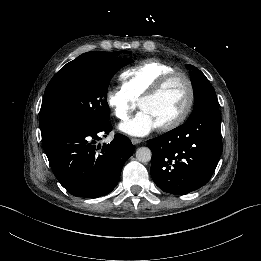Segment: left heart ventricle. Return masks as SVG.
I'll list each match as a JSON object with an SVG mask.
<instances>
[{"instance_id": "left-heart-ventricle-1", "label": "left heart ventricle", "mask_w": 261, "mask_h": 261, "mask_svg": "<svg viewBox=\"0 0 261 261\" xmlns=\"http://www.w3.org/2000/svg\"><path fill=\"white\" fill-rule=\"evenodd\" d=\"M188 98V88L183 78H175L154 99L141 104V110L147 111L161 126L178 116Z\"/></svg>"}]
</instances>
